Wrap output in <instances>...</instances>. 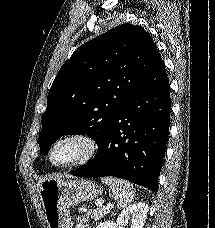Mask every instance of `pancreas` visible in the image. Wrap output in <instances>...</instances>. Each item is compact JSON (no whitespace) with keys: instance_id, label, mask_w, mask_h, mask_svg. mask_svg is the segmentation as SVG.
<instances>
[{"instance_id":"1","label":"pancreas","mask_w":215,"mask_h":228,"mask_svg":"<svg viewBox=\"0 0 215 228\" xmlns=\"http://www.w3.org/2000/svg\"><path fill=\"white\" fill-rule=\"evenodd\" d=\"M109 212L110 210H107V208H95V210L88 212L86 216H78V218H76V222L77 224H86V222H90L89 218H91V220H101V218L107 216Z\"/></svg>"}]
</instances>
